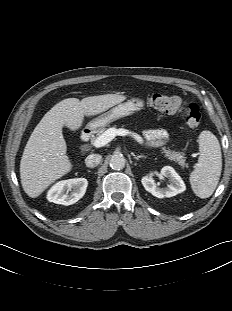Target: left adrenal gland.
Here are the masks:
<instances>
[{"label": "left adrenal gland", "instance_id": "a2214340", "mask_svg": "<svg viewBox=\"0 0 232 311\" xmlns=\"http://www.w3.org/2000/svg\"><path fill=\"white\" fill-rule=\"evenodd\" d=\"M133 156H134V158H135L136 160H138L139 158H146V156H144V155H138V156L133 155Z\"/></svg>", "mask_w": 232, "mask_h": 311}]
</instances>
